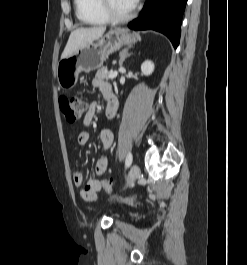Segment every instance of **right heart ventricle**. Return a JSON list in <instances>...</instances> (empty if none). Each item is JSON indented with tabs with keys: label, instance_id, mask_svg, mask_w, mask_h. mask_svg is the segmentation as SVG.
<instances>
[{
	"label": "right heart ventricle",
	"instance_id": "right-heart-ventricle-1",
	"mask_svg": "<svg viewBox=\"0 0 247 265\" xmlns=\"http://www.w3.org/2000/svg\"><path fill=\"white\" fill-rule=\"evenodd\" d=\"M78 19L89 25H104L109 22L101 9V0H74Z\"/></svg>",
	"mask_w": 247,
	"mask_h": 265
}]
</instances>
